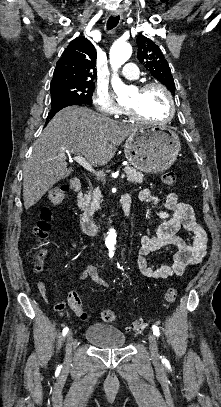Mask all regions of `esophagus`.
<instances>
[{
	"instance_id": "1",
	"label": "esophagus",
	"mask_w": 221,
	"mask_h": 407,
	"mask_svg": "<svg viewBox=\"0 0 221 407\" xmlns=\"http://www.w3.org/2000/svg\"><path fill=\"white\" fill-rule=\"evenodd\" d=\"M112 15L113 16H119V15H121V12L120 11H114V12H112Z\"/></svg>"
}]
</instances>
